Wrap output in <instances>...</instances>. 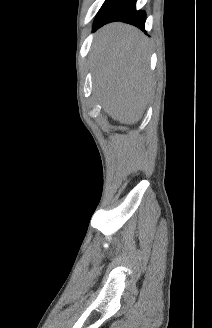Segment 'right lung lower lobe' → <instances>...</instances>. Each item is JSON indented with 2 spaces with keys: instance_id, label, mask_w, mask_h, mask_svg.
Segmentation results:
<instances>
[{
  "instance_id": "98d812e1",
  "label": "right lung lower lobe",
  "mask_w": 212,
  "mask_h": 328,
  "mask_svg": "<svg viewBox=\"0 0 212 328\" xmlns=\"http://www.w3.org/2000/svg\"><path fill=\"white\" fill-rule=\"evenodd\" d=\"M145 11L136 10V0H106L99 10L93 30L114 21L129 23L145 31Z\"/></svg>"
}]
</instances>
